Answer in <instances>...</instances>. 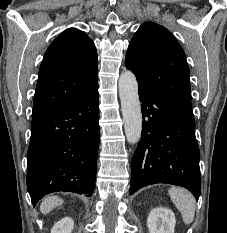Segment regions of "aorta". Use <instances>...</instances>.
I'll return each instance as SVG.
<instances>
[{
    "mask_svg": "<svg viewBox=\"0 0 227 233\" xmlns=\"http://www.w3.org/2000/svg\"><path fill=\"white\" fill-rule=\"evenodd\" d=\"M118 87L125 135L130 144H135L142 133V113L135 75L131 71H124L120 75Z\"/></svg>",
    "mask_w": 227,
    "mask_h": 233,
    "instance_id": "762f6f07",
    "label": "aorta"
}]
</instances>
